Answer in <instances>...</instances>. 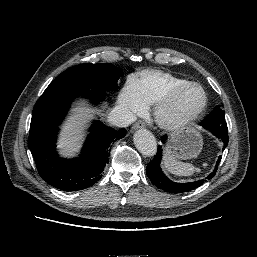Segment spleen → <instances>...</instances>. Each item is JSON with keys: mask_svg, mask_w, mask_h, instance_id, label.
I'll use <instances>...</instances> for the list:
<instances>
[{"mask_svg": "<svg viewBox=\"0 0 257 257\" xmlns=\"http://www.w3.org/2000/svg\"><path fill=\"white\" fill-rule=\"evenodd\" d=\"M164 167L167 171L177 176H190L195 172H200L199 168H195L191 163H184L176 160L170 152H166L163 160ZM206 167L207 163H203Z\"/></svg>", "mask_w": 257, "mask_h": 257, "instance_id": "1", "label": "spleen"}]
</instances>
